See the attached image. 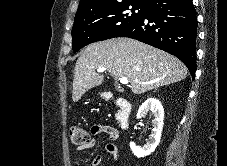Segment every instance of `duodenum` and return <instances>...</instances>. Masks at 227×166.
Wrapping results in <instances>:
<instances>
[{
    "instance_id": "obj_1",
    "label": "duodenum",
    "mask_w": 227,
    "mask_h": 166,
    "mask_svg": "<svg viewBox=\"0 0 227 166\" xmlns=\"http://www.w3.org/2000/svg\"><path fill=\"white\" fill-rule=\"evenodd\" d=\"M105 96L107 99H110V93L105 91ZM118 106V121L122 129H126L129 126L130 114L132 105L129 101L125 99H117L114 101Z\"/></svg>"
}]
</instances>
